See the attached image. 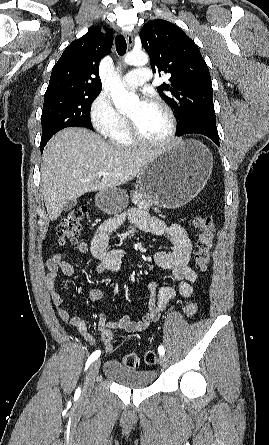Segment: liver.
Here are the masks:
<instances>
[{
    "label": "liver",
    "mask_w": 269,
    "mask_h": 445,
    "mask_svg": "<svg viewBox=\"0 0 269 445\" xmlns=\"http://www.w3.org/2000/svg\"><path fill=\"white\" fill-rule=\"evenodd\" d=\"M162 149L109 144L84 128L57 133L45 147L41 164L42 193L49 219L54 221L60 216L67 200L131 181ZM100 171L109 175L101 178Z\"/></svg>",
    "instance_id": "liver-1"
}]
</instances>
